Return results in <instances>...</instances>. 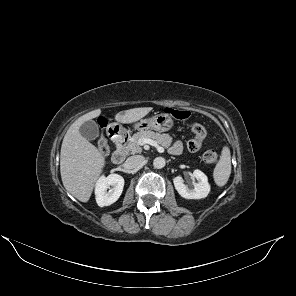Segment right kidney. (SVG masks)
<instances>
[{"instance_id": "right-kidney-1", "label": "right kidney", "mask_w": 296, "mask_h": 296, "mask_svg": "<svg viewBox=\"0 0 296 296\" xmlns=\"http://www.w3.org/2000/svg\"><path fill=\"white\" fill-rule=\"evenodd\" d=\"M110 186H112V188H110ZM123 187L124 178L118 174H111L108 177H100L95 187L97 204L100 207L113 204L122 194Z\"/></svg>"}]
</instances>
